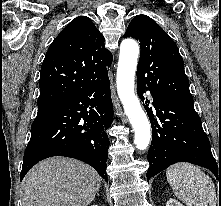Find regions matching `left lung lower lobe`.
Returning a JSON list of instances; mask_svg holds the SVG:
<instances>
[{
	"label": "left lung lower lobe",
	"instance_id": "0a47b994",
	"mask_svg": "<svg viewBox=\"0 0 221 206\" xmlns=\"http://www.w3.org/2000/svg\"><path fill=\"white\" fill-rule=\"evenodd\" d=\"M147 88L137 87V93L145 105L152 126V142L148 151L150 167L147 181L170 165L177 162H190L203 166L221 180V165H217L211 152L210 142L206 136L199 115L194 106L180 105L166 101L152 94L153 106L143 96Z\"/></svg>",
	"mask_w": 221,
	"mask_h": 206
}]
</instances>
